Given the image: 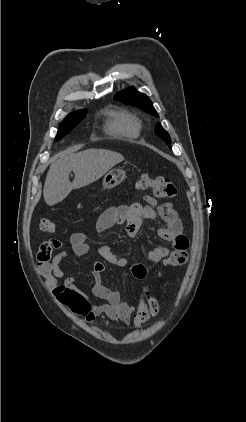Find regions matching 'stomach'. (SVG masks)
<instances>
[{
    "mask_svg": "<svg viewBox=\"0 0 246 422\" xmlns=\"http://www.w3.org/2000/svg\"><path fill=\"white\" fill-rule=\"evenodd\" d=\"M125 178V171L120 169L111 170L103 178V188L112 189L121 184Z\"/></svg>",
    "mask_w": 246,
    "mask_h": 422,
    "instance_id": "1",
    "label": "stomach"
}]
</instances>
